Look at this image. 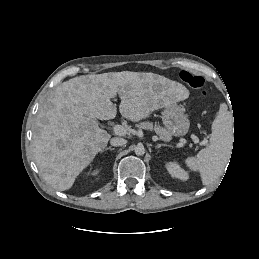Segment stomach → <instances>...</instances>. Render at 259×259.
I'll return each instance as SVG.
<instances>
[{
  "instance_id": "1",
  "label": "stomach",
  "mask_w": 259,
  "mask_h": 259,
  "mask_svg": "<svg viewBox=\"0 0 259 259\" xmlns=\"http://www.w3.org/2000/svg\"><path fill=\"white\" fill-rule=\"evenodd\" d=\"M162 121L170 135L180 137L188 133L190 122L184 110L176 103L165 107Z\"/></svg>"
}]
</instances>
